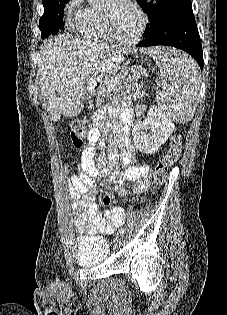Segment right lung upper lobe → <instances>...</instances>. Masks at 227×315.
I'll use <instances>...</instances> for the list:
<instances>
[{
	"label": "right lung upper lobe",
	"mask_w": 227,
	"mask_h": 315,
	"mask_svg": "<svg viewBox=\"0 0 227 315\" xmlns=\"http://www.w3.org/2000/svg\"><path fill=\"white\" fill-rule=\"evenodd\" d=\"M44 1H48V0H42V2H44Z\"/></svg>",
	"instance_id": "cb5924a9"
}]
</instances>
